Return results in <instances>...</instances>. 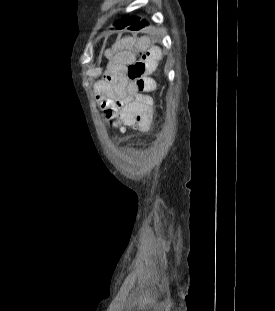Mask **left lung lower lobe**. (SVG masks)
<instances>
[{
    "label": "left lung lower lobe",
    "mask_w": 275,
    "mask_h": 311,
    "mask_svg": "<svg viewBox=\"0 0 275 311\" xmlns=\"http://www.w3.org/2000/svg\"><path fill=\"white\" fill-rule=\"evenodd\" d=\"M147 25H148V23L145 20L140 21L137 18L131 25H129L127 27V29L135 31V30H140V29L144 28Z\"/></svg>",
    "instance_id": "obj_1"
}]
</instances>
